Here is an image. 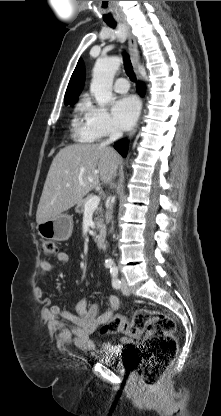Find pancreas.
<instances>
[{"label":"pancreas","instance_id":"cf45deb5","mask_svg":"<svg viewBox=\"0 0 221 416\" xmlns=\"http://www.w3.org/2000/svg\"><path fill=\"white\" fill-rule=\"evenodd\" d=\"M93 195H88L86 198L80 200L77 203V206L75 208L76 213L82 214L84 213V206L85 203L91 198ZM96 217L94 218L95 224L97 226H100L103 223V209L102 207H97L95 210Z\"/></svg>","mask_w":221,"mask_h":416}]
</instances>
